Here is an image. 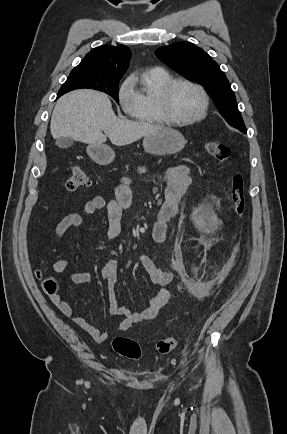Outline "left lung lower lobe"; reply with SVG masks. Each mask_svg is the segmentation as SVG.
I'll use <instances>...</instances> for the list:
<instances>
[{"label":"left lung lower lobe","mask_w":287,"mask_h":434,"mask_svg":"<svg viewBox=\"0 0 287 434\" xmlns=\"http://www.w3.org/2000/svg\"><path fill=\"white\" fill-rule=\"evenodd\" d=\"M238 130H240L243 133H246V128L245 129H238Z\"/></svg>","instance_id":"0a47b994"}]
</instances>
